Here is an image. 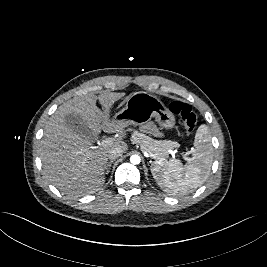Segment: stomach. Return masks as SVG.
<instances>
[{"label":"stomach","instance_id":"stomach-1","mask_svg":"<svg viewBox=\"0 0 267 267\" xmlns=\"http://www.w3.org/2000/svg\"><path fill=\"white\" fill-rule=\"evenodd\" d=\"M155 118L162 129H172L175 126L174 114L165 107L162 101L147 92H135L126 99V106L116 113L113 119L126 126L143 125Z\"/></svg>","mask_w":267,"mask_h":267}]
</instances>
